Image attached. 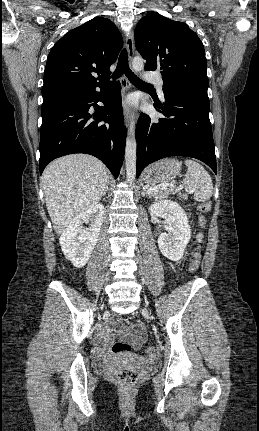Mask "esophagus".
Here are the masks:
<instances>
[{"mask_svg":"<svg viewBox=\"0 0 259 431\" xmlns=\"http://www.w3.org/2000/svg\"><path fill=\"white\" fill-rule=\"evenodd\" d=\"M126 48L128 53V60L129 63H131L133 56H134V35L133 31L129 33V35L126 37ZM122 84V93H123V114L126 125L130 122V107L125 99V94L127 91L131 89V83L128 81V79L124 76L121 80Z\"/></svg>","mask_w":259,"mask_h":431,"instance_id":"34e87169","label":"esophagus"}]
</instances>
